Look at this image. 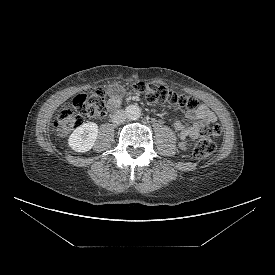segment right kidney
<instances>
[{
	"instance_id": "right-kidney-1",
	"label": "right kidney",
	"mask_w": 275,
	"mask_h": 275,
	"mask_svg": "<svg viewBox=\"0 0 275 275\" xmlns=\"http://www.w3.org/2000/svg\"><path fill=\"white\" fill-rule=\"evenodd\" d=\"M97 136V124L85 123L73 131L69 137L68 145L76 152H87L94 146Z\"/></svg>"
}]
</instances>
